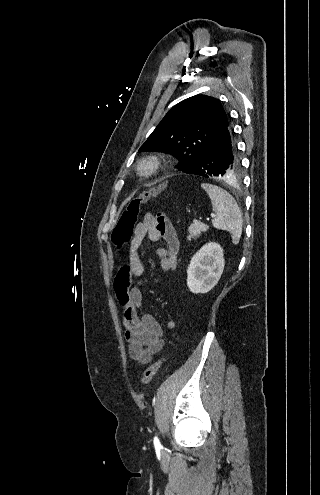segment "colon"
Wrapping results in <instances>:
<instances>
[{"mask_svg": "<svg viewBox=\"0 0 320 495\" xmlns=\"http://www.w3.org/2000/svg\"><path fill=\"white\" fill-rule=\"evenodd\" d=\"M156 193L157 190L152 189L129 200L111 234L112 242L117 248H123L130 241L142 206ZM163 360L164 357H161L146 368L141 377V383L143 385L151 382Z\"/></svg>", "mask_w": 320, "mask_h": 495, "instance_id": "obj_1", "label": "colon"}]
</instances>
